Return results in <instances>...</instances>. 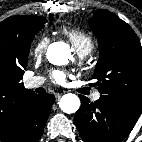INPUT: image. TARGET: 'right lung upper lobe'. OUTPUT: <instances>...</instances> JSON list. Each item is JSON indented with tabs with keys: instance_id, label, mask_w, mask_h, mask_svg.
Listing matches in <instances>:
<instances>
[{
	"instance_id": "right-lung-upper-lobe-1",
	"label": "right lung upper lobe",
	"mask_w": 142,
	"mask_h": 142,
	"mask_svg": "<svg viewBox=\"0 0 142 142\" xmlns=\"http://www.w3.org/2000/svg\"><path fill=\"white\" fill-rule=\"evenodd\" d=\"M42 19L16 15L0 23V135L9 131L25 102L35 94L21 82L28 58L24 43Z\"/></svg>"
}]
</instances>
